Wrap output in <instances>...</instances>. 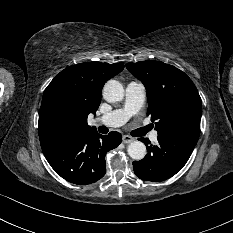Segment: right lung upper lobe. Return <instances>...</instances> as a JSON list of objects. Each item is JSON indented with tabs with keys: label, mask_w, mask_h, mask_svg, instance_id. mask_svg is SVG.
<instances>
[{
	"label": "right lung upper lobe",
	"mask_w": 233,
	"mask_h": 233,
	"mask_svg": "<svg viewBox=\"0 0 233 233\" xmlns=\"http://www.w3.org/2000/svg\"><path fill=\"white\" fill-rule=\"evenodd\" d=\"M123 68V63L88 62L61 71L43 93L40 141L93 129L87 117L98 109L103 84Z\"/></svg>",
	"instance_id": "right-lung-upper-lobe-1"
}]
</instances>
